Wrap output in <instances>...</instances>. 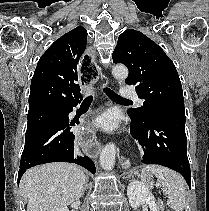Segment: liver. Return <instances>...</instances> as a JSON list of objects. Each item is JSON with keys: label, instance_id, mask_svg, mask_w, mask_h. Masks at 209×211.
<instances>
[{"label": "liver", "instance_id": "obj_1", "mask_svg": "<svg viewBox=\"0 0 209 211\" xmlns=\"http://www.w3.org/2000/svg\"><path fill=\"white\" fill-rule=\"evenodd\" d=\"M85 179L78 166L53 162L27 170L20 181V192L27 200V211H58L79 200Z\"/></svg>", "mask_w": 209, "mask_h": 211}]
</instances>
